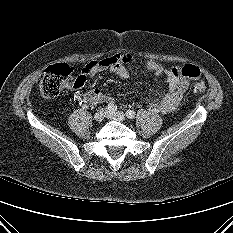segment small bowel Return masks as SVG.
Segmentation results:
<instances>
[{
	"mask_svg": "<svg viewBox=\"0 0 233 233\" xmlns=\"http://www.w3.org/2000/svg\"><path fill=\"white\" fill-rule=\"evenodd\" d=\"M133 56L129 53H116L98 61H92L87 64L78 78L82 79L81 84L74 82L72 88L81 89L87 79H94L98 74L110 71L122 79H128L130 73L127 65L132 63ZM147 71L156 76H163L166 80L167 93L155 100L149 101V108L155 112L168 113L174 111L179 105L183 95L188 89V78L175 75L174 71L178 67L166 68L156 61H149L145 65ZM82 98L86 104L95 105L98 103L113 104L114 98L100 91L97 88L86 90L82 94Z\"/></svg>",
	"mask_w": 233,
	"mask_h": 233,
	"instance_id": "small-bowel-1",
	"label": "small bowel"
}]
</instances>
